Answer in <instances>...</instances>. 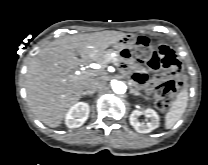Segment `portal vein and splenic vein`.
<instances>
[{"mask_svg":"<svg viewBox=\"0 0 208 165\" xmlns=\"http://www.w3.org/2000/svg\"><path fill=\"white\" fill-rule=\"evenodd\" d=\"M95 73V71H92V70H88V71H84L83 74L87 77L89 76H93Z\"/></svg>","mask_w":208,"mask_h":165,"instance_id":"1","label":"portal vein and splenic vein"}]
</instances>
